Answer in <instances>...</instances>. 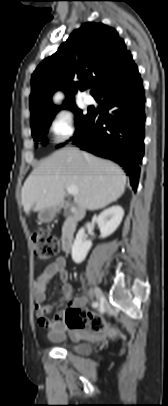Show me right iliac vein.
<instances>
[{"label":"right iliac vein","mask_w":168,"mask_h":406,"mask_svg":"<svg viewBox=\"0 0 168 406\" xmlns=\"http://www.w3.org/2000/svg\"><path fill=\"white\" fill-rule=\"evenodd\" d=\"M94 294L97 300H100L103 297L102 290L99 287H95Z\"/></svg>","instance_id":"63e3f726"}]
</instances>
